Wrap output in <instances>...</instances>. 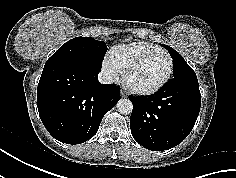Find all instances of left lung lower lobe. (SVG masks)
<instances>
[{
  "instance_id": "obj_1",
  "label": "left lung lower lobe",
  "mask_w": 236,
  "mask_h": 178,
  "mask_svg": "<svg viewBox=\"0 0 236 178\" xmlns=\"http://www.w3.org/2000/svg\"><path fill=\"white\" fill-rule=\"evenodd\" d=\"M133 104L130 128L134 139L152 151L180 144L191 132L199 114L198 80H169L148 97H129Z\"/></svg>"
}]
</instances>
